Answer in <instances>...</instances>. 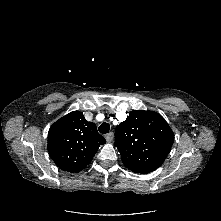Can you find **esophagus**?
I'll use <instances>...</instances> for the list:
<instances>
[{"mask_svg":"<svg viewBox=\"0 0 221 221\" xmlns=\"http://www.w3.org/2000/svg\"><path fill=\"white\" fill-rule=\"evenodd\" d=\"M113 137H114L113 132L107 133V134L105 135V139H106L108 142H111V141L113 140Z\"/></svg>","mask_w":221,"mask_h":221,"instance_id":"34e87169","label":"esophagus"}]
</instances>
